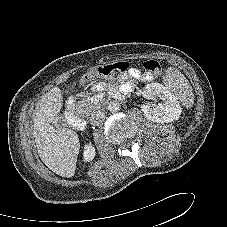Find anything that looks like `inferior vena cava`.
<instances>
[{"label": "inferior vena cava", "instance_id": "inferior-vena-cava-1", "mask_svg": "<svg viewBox=\"0 0 227 227\" xmlns=\"http://www.w3.org/2000/svg\"><path fill=\"white\" fill-rule=\"evenodd\" d=\"M105 120V113L101 110H97L91 113L90 122L94 126L100 125Z\"/></svg>", "mask_w": 227, "mask_h": 227}]
</instances>
